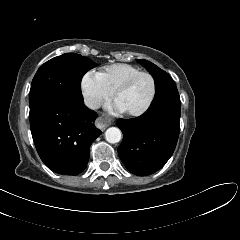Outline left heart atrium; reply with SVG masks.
I'll return each mask as SVG.
<instances>
[{
    "instance_id": "left-heart-atrium-1",
    "label": "left heart atrium",
    "mask_w": 240,
    "mask_h": 240,
    "mask_svg": "<svg viewBox=\"0 0 240 240\" xmlns=\"http://www.w3.org/2000/svg\"><path fill=\"white\" fill-rule=\"evenodd\" d=\"M110 110L115 111V112H124L126 111V107L124 104L119 100L116 99L110 106Z\"/></svg>"
}]
</instances>
